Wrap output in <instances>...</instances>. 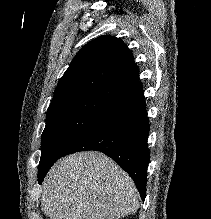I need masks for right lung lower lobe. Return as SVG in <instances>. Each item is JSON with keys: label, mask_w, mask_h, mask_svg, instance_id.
I'll use <instances>...</instances> for the list:
<instances>
[{"label": "right lung lower lobe", "mask_w": 211, "mask_h": 219, "mask_svg": "<svg viewBox=\"0 0 211 219\" xmlns=\"http://www.w3.org/2000/svg\"><path fill=\"white\" fill-rule=\"evenodd\" d=\"M149 130L142 92L99 120L74 141L61 157L85 150L103 152L130 175L144 200L150 160L147 144Z\"/></svg>", "instance_id": "98d812e1"}]
</instances>
